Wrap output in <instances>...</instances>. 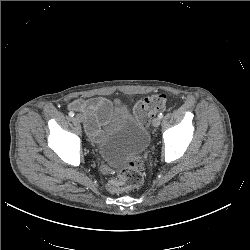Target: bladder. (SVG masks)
<instances>
[{"label": "bladder", "instance_id": "obj_1", "mask_svg": "<svg viewBox=\"0 0 250 250\" xmlns=\"http://www.w3.org/2000/svg\"><path fill=\"white\" fill-rule=\"evenodd\" d=\"M150 137L146 127L122 106L109 120L106 136L97 147V154L111 165L124 164L132 156L147 150Z\"/></svg>", "mask_w": 250, "mask_h": 250}]
</instances>
